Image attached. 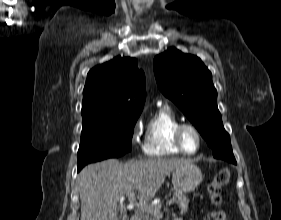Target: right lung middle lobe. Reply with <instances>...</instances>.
Wrapping results in <instances>:
<instances>
[{"label": "right lung middle lobe", "mask_w": 281, "mask_h": 220, "mask_svg": "<svg viewBox=\"0 0 281 220\" xmlns=\"http://www.w3.org/2000/svg\"><path fill=\"white\" fill-rule=\"evenodd\" d=\"M139 115L83 119L78 167L131 151L134 125Z\"/></svg>", "instance_id": "obj_1"}]
</instances>
